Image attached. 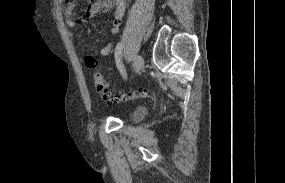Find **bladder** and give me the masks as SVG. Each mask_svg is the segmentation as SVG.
Instances as JSON below:
<instances>
[{"label":"bladder","instance_id":"obj_1","mask_svg":"<svg viewBox=\"0 0 285 183\" xmlns=\"http://www.w3.org/2000/svg\"><path fill=\"white\" fill-rule=\"evenodd\" d=\"M147 114V110L143 107H138L133 111L132 120L133 121H140L142 120Z\"/></svg>","mask_w":285,"mask_h":183}]
</instances>
